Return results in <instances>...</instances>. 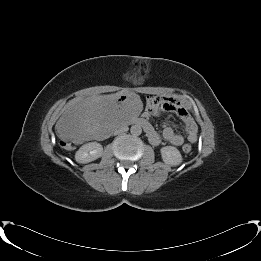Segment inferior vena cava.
<instances>
[{
	"label": "inferior vena cava",
	"instance_id": "obj_1",
	"mask_svg": "<svg viewBox=\"0 0 261 261\" xmlns=\"http://www.w3.org/2000/svg\"><path fill=\"white\" fill-rule=\"evenodd\" d=\"M127 130H128V126L126 124H122L114 131V133L115 134L123 133L126 132Z\"/></svg>",
	"mask_w": 261,
	"mask_h": 261
}]
</instances>
